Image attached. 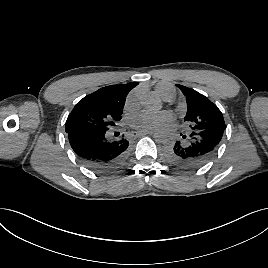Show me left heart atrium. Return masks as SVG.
<instances>
[{"instance_id":"39dd6f15","label":"left heart atrium","mask_w":268,"mask_h":268,"mask_svg":"<svg viewBox=\"0 0 268 268\" xmlns=\"http://www.w3.org/2000/svg\"><path fill=\"white\" fill-rule=\"evenodd\" d=\"M149 119V115L146 112H143L139 114L137 117L133 119V124L134 125H139L140 121L147 122ZM173 115L169 112H164L158 116L153 117V120L155 122H161L164 124L171 123L173 121Z\"/></svg>"}]
</instances>
